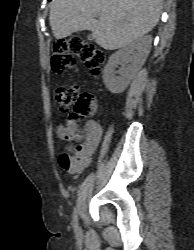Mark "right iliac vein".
<instances>
[{
    "mask_svg": "<svg viewBox=\"0 0 194 250\" xmlns=\"http://www.w3.org/2000/svg\"><path fill=\"white\" fill-rule=\"evenodd\" d=\"M76 232H80V227L79 226H77Z\"/></svg>",
    "mask_w": 194,
    "mask_h": 250,
    "instance_id": "63e3f726",
    "label": "right iliac vein"
}]
</instances>
